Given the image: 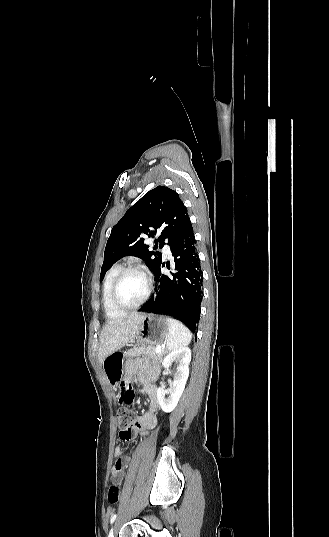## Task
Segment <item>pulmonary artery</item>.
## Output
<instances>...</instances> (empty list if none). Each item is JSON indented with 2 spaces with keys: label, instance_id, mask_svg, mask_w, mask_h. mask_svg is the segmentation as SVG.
I'll use <instances>...</instances> for the list:
<instances>
[{
  "label": "pulmonary artery",
  "instance_id": "1",
  "mask_svg": "<svg viewBox=\"0 0 329 537\" xmlns=\"http://www.w3.org/2000/svg\"><path fill=\"white\" fill-rule=\"evenodd\" d=\"M163 253H164L165 255H169V254H170V248H169V246H164V248H163Z\"/></svg>",
  "mask_w": 329,
  "mask_h": 537
}]
</instances>
